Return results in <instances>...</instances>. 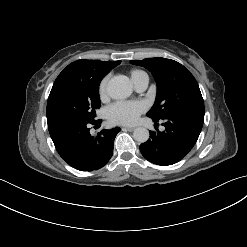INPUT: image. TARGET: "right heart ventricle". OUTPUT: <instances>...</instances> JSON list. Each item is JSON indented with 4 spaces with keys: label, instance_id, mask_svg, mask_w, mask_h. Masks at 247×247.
Masks as SVG:
<instances>
[{
    "label": "right heart ventricle",
    "instance_id": "e07e8e85",
    "mask_svg": "<svg viewBox=\"0 0 247 247\" xmlns=\"http://www.w3.org/2000/svg\"><path fill=\"white\" fill-rule=\"evenodd\" d=\"M130 76H131V80L133 82V84L140 80V79H148V75L142 71V70H139V69H134L130 72Z\"/></svg>",
    "mask_w": 247,
    "mask_h": 247
}]
</instances>
